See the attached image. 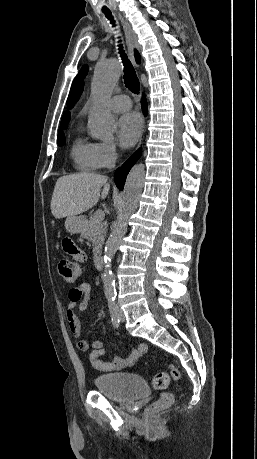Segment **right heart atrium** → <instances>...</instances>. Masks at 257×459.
Masks as SVG:
<instances>
[{"label": "right heart atrium", "mask_w": 257, "mask_h": 459, "mask_svg": "<svg viewBox=\"0 0 257 459\" xmlns=\"http://www.w3.org/2000/svg\"><path fill=\"white\" fill-rule=\"evenodd\" d=\"M95 153L98 164L101 168L111 167L118 157L117 146L112 142L95 143Z\"/></svg>", "instance_id": "obj_1"}]
</instances>
